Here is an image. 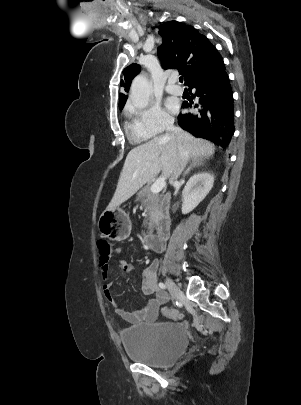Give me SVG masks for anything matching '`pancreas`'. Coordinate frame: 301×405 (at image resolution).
Here are the masks:
<instances>
[{"label":"pancreas","instance_id":"obj_1","mask_svg":"<svg viewBox=\"0 0 301 405\" xmlns=\"http://www.w3.org/2000/svg\"><path fill=\"white\" fill-rule=\"evenodd\" d=\"M138 200H140L142 206L145 209V212L147 213L145 216L144 220V228L142 234L146 235L147 233H150L153 231L154 226L158 220L159 217V197L158 194L153 193L150 190V185H146L142 190L139 191L137 194Z\"/></svg>","mask_w":301,"mask_h":405}]
</instances>
